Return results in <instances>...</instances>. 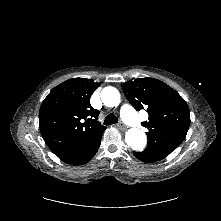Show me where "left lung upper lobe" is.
Instances as JSON below:
<instances>
[{
  "instance_id": "1",
  "label": "left lung upper lobe",
  "mask_w": 221,
  "mask_h": 221,
  "mask_svg": "<svg viewBox=\"0 0 221 221\" xmlns=\"http://www.w3.org/2000/svg\"><path fill=\"white\" fill-rule=\"evenodd\" d=\"M125 97L137 110L145 109L149 121L146 149L170 154L185 139L190 125V112L185 100L164 82L138 78L122 84Z\"/></svg>"
}]
</instances>
